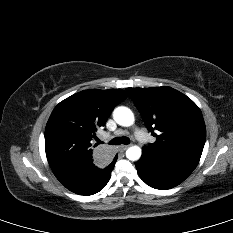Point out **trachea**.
Returning a JSON list of instances; mask_svg holds the SVG:
<instances>
[{
  "label": "trachea",
  "instance_id": "3493384b",
  "mask_svg": "<svg viewBox=\"0 0 233 233\" xmlns=\"http://www.w3.org/2000/svg\"><path fill=\"white\" fill-rule=\"evenodd\" d=\"M99 144L102 143V141H98ZM130 143V139L128 137H116L114 138L110 144L111 145H120V144H129Z\"/></svg>",
  "mask_w": 233,
  "mask_h": 233
}]
</instances>
